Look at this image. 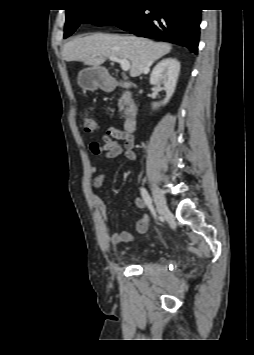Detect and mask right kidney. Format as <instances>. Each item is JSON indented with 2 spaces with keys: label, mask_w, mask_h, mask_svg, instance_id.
<instances>
[{
  "label": "right kidney",
  "mask_w": 254,
  "mask_h": 355,
  "mask_svg": "<svg viewBox=\"0 0 254 355\" xmlns=\"http://www.w3.org/2000/svg\"><path fill=\"white\" fill-rule=\"evenodd\" d=\"M179 72L180 63L176 58L163 59L154 67L150 75V83H162L166 91V97L161 103H153V108L168 103L175 91Z\"/></svg>",
  "instance_id": "1"
}]
</instances>
